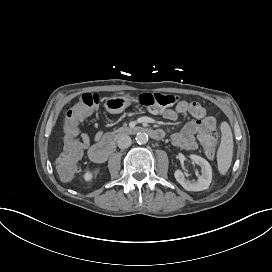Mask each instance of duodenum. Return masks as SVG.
Segmentation results:
<instances>
[{"label":"duodenum","mask_w":272,"mask_h":272,"mask_svg":"<svg viewBox=\"0 0 272 272\" xmlns=\"http://www.w3.org/2000/svg\"><path fill=\"white\" fill-rule=\"evenodd\" d=\"M130 131L133 133L145 132L151 138L157 140L161 139L164 135L163 131L159 129H151L147 127H134ZM115 141V135L109 134L102 136L96 144L90 147L88 151L89 158L96 163L105 162L114 151Z\"/></svg>","instance_id":"duodenum-1"}]
</instances>
